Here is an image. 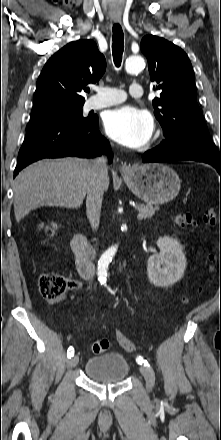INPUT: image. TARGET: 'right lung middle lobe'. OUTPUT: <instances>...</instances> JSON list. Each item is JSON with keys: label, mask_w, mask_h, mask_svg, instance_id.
I'll return each mask as SVG.
<instances>
[{"label": "right lung middle lobe", "mask_w": 221, "mask_h": 440, "mask_svg": "<svg viewBox=\"0 0 221 440\" xmlns=\"http://www.w3.org/2000/svg\"><path fill=\"white\" fill-rule=\"evenodd\" d=\"M83 105L76 106H52L48 108L38 109L31 112L30 122L39 120V119H47V118H59L64 119L70 122H87L92 118L83 117L82 113Z\"/></svg>", "instance_id": "1"}]
</instances>
